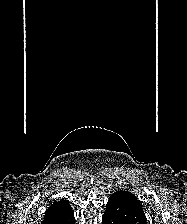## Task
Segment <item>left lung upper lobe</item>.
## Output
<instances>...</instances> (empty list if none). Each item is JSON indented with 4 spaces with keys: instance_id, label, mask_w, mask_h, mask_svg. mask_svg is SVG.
I'll return each mask as SVG.
<instances>
[{
    "instance_id": "1",
    "label": "left lung upper lobe",
    "mask_w": 187,
    "mask_h": 224,
    "mask_svg": "<svg viewBox=\"0 0 187 224\" xmlns=\"http://www.w3.org/2000/svg\"><path fill=\"white\" fill-rule=\"evenodd\" d=\"M129 194H131L132 196H134V194H132V193H130V192H128ZM135 198H136V200L140 203V201L137 199V197L136 196H134Z\"/></svg>"
}]
</instances>
